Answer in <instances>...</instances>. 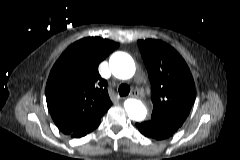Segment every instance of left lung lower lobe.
<instances>
[{
    "instance_id": "0a47b994",
    "label": "left lung lower lobe",
    "mask_w": 240,
    "mask_h": 160,
    "mask_svg": "<svg viewBox=\"0 0 240 160\" xmlns=\"http://www.w3.org/2000/svg\"><path fill=\"white\" fill-rule=\"evenodd\" d=\"M138 130L146 137L156 139V140H163L171 137L174 133L158 126L157 124L153 123L150 120L136 123Z\"/></svg>"
}]
</instances>
